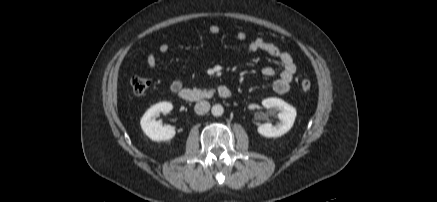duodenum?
Wrapping results in <instances>:
<instances>
[{"label":"duodenum","mask_w":437,"mask_h":202,"mask_svg":"<svg viewBox=\"0 0 437 202\" xmlns=\"http://www.w3.org/2000/svg\"><path fill=\"white\" fill-rule=\"evenodd\" d=\"M178 96L187 102H199L211 99L214 96L228 99L231 97V90L224 85H220L213 89L181 88L178 91Z\"/></svg>","instance_id":"410a0bca"}]
</instances>
